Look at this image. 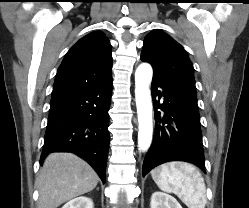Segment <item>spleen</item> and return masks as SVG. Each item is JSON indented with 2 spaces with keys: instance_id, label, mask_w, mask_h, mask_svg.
I'll use <instances>...</instances> for the list:
<instances>
[{
  "instance_id": "1",
  "label": "spleen",
  "mask_w": 249,
  "mask_h": 208,
  "mask_svg": "<svg viewBox=\"0 0 249 208\" xmlns=\"http://www.w3.org/2000/svg\"><path fill=\"white\" fill-rule=\"evenodd\" d=\"M152 179L165 192L177 195L188 208H205L206 186L200 172L190 163L171 162L151 171Z\"/></svg>"
}]
</instances>
